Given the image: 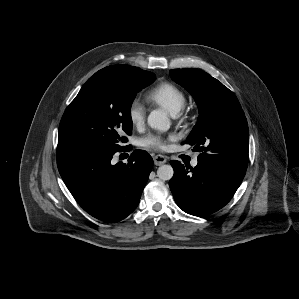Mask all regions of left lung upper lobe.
Wrapping results in <instances>:
<instances>
[{
    "label": "left lung upper lobe",
    "instance_id": "obj_1",
    "mask_svg": "<svg viewBox=\"0 0 299 299\" xmlns=\"http://www.w3.org/2000/svg\"><path fill=\"white\" fill-rule=\"evenodd\" d=\"M170 76L190 92L199 108L198 121L185 141L200 152L198 161L246 171L248 124L234 93L199 69H174Z\"/></svg>",
    "mask_w": 299,
    "mask_h": 299
}]
</instances>
